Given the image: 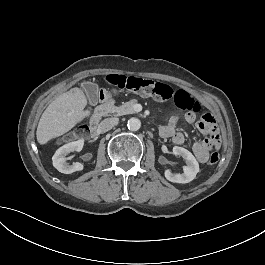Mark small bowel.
<instances>
[{
	"label": "small bowel",
	"instance_id": "c3829d8e",
	"mask_svg": "<svg viewBox=\"0 0 265 265\" xmlns=\"http://www.w3.org/2000/svg\"><path fill=\"white\" fill-rule=\"evenodd\" d=\"M185 119L187 122L193 123L195 121V115L192 112H188L185 115ZM178 121V117H171L169 122L160 128L159 132L162 137L170 138L175 145L179 146L185 142V136L176 129ZM201 123H203V121L198 122L197 129L201 134L207 136V138L202 141L194 142L192 151L199 162L206 163L208 162L210 152L219 147V132L216 123L213 125V130L215 131L213 134L203 127Z\"/></svg>",
	"mask_w": 265,
	"mask_h": 265
}]
</instances>
